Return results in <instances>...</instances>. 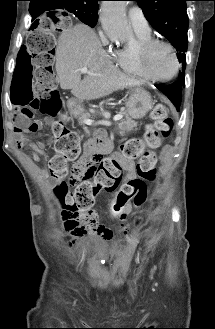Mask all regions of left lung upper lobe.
I'll return each instance as SVG.
<instances>
[{"label":"left lung upper lobe","instance_id":"5c2ea615","mask_svg":"<svg viewBox=\"0 0 215 329\" xmlns=\"http://www.w3.org/2000/svg\"><path fill=\"white\" fill-rule=\"evenodd\" d=\"M142 8L144 16L151 26L167 38L177 50V57L182 64L178 80L185 76L186 55L188 46L189 19L186 12L188 0H134Z\"/></svg>","mask_w":215,"mask_h":329}]
</instances>
